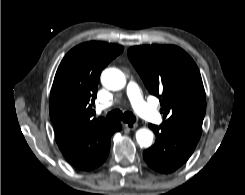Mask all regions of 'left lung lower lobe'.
Masks as SVG:
<instances>
[{
	"label": "left lung lower lobe",
	"instance_id": "left-lung-lower-lobe-1",
	"mask_svg": "<svg viewBox=\"0 0 245 195\" xmlns=\"http://www.w3.org/2000/svg\"><path fill=\"white\" fill-rule=\"evenodd\" d=\"M157 141L143 152L146 163L160 173H171L192 155L200 137L171 126L149 124Z\"/></svg>",
	"mask_w": 245,
	"mask_h": 195
}]
</instances>
